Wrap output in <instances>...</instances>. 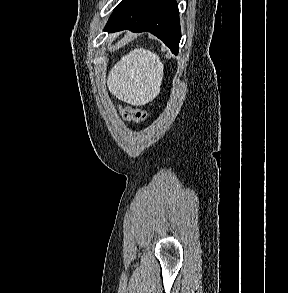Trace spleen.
Masks as SVG:
<instances>
[{"mask_svg": "<svg viewBox=\"0 0 288 293\" xmlns=\"http://www.w3.org/2000/svg\"><path fill=\"white\" fill-rule=\"evenodd\" d=\"M163 69L158 55L143 48L134 49L109 72V91L129 104L145 105L159 94Z\"/></svg>", "mask_w": 288, "mask_h": 293, "instance_id": "spleen-1", "label": "spleen"}]
</instances>
